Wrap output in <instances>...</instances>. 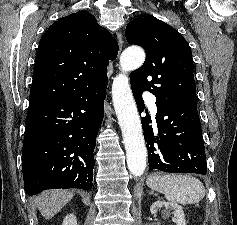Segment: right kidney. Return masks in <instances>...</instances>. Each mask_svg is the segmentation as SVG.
<instances>
[{
  "instance_id": "ca27d5eb",
  "label": "right kidney",
  "mask_w": 237,
  "mask_h": 225,
  "mask_svg": "<svg viewBox=\"0 0 237 225\" xmlns=\"http://www.w3.org/2000/svg\"><path fill=\"white\" fill-rule=\"evenodd\" d=\"M62 225H77V220L74 214H69L67 215L64 220Z\"/></svg>"
}]
</instances>
